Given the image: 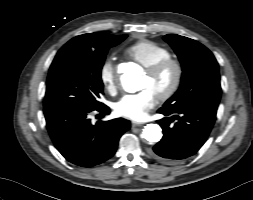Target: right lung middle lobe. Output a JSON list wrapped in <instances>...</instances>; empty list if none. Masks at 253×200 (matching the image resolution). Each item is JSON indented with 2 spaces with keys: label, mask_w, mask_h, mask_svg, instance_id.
I'll return each instance as SVG.
<instances>
[{
  "label": "right lung middle lobe",
  "mask_w": 253,
  "mask_h": 200,
  "mask_svg": "<svg viewBox=\"0 0 253 200\" xmlns=\"http://www.w3.org/2000/svg\"><path fill=\"white\" fill-rule=\"evenodd\" d=\"M127 35L98 43L70 40L55 56L49 70L44 109L60 106L96 108L103 93L101 69L110 47Z\"/></svg>",
  "instance_id": "obj_1"
}]
</instances>
